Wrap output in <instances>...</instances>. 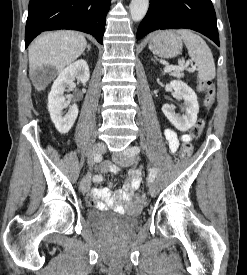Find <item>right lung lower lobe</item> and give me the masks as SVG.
Wrapping results in <instances>:
<instances>
[{"instance_id":"right-lung-lower-lobe-1","label":"right lung lower lobe","mask_w":247,"mask_h":275,"mask_svg":"<svg viewBox=\"0 0 247 275\" xmlns=\"http://www.w3.org/2000/svg\"><path fill=\"white\" fill-rule=\"evenodd\" d=\"M111 0H30L25 48L41 32L78 30L93 35L102 44Z\"/></svg>"}]
</instances>
